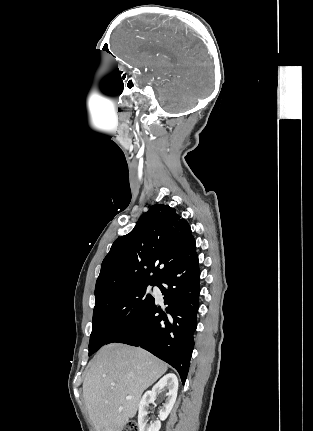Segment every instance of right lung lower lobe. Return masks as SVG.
<instances>
[{
    "instance_id": "1",
    "label": "right lung lower lobe",
    "mask_w": 313,
    "mask_h": 431,
    "mask_svg": "<svg viewBox=\"0 0 313 431\" xmlns=\"http://www.w3.org/2000/svg\"><path fill=\"white\" fill-rule=\"evenodd\" d=\"M199 279L193 239L182 258L157 284L164 295V306L152 298L107 344L119 342L144 348L174 367L184 384L197 328Z\"/></svg>"
}]
</instances>
